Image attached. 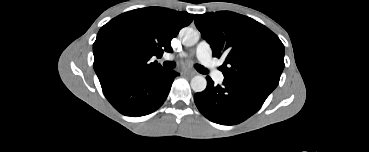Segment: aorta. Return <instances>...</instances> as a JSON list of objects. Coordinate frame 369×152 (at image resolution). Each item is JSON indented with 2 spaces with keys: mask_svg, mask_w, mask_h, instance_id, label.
<instances>
[{
  "mask_svg": "<svg viewBox=\"0 0 369 152\" xmlns=\"http://www.w3.org/2000/svg\"><path fill=\"white\" fill-rule=\"evenodd\" d=\"M179 36L182 40L183 45L190 47L195 45L199 40V33L193 28H183ZM191 88L194 92H202L206 89L207 81L203 75H196L191 79Z\"/></svg>",
  "mask_w": 369,
  "mask_h": 152,
  "instance_id": "1",
  "label": "aorta"
}]
</instances>
